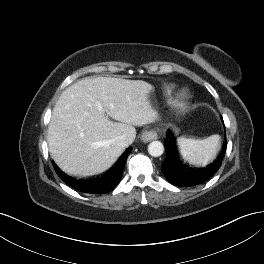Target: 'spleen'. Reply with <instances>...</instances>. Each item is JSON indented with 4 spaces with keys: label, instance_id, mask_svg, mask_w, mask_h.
<instances>
[{
    "label": "spleen",
    "instance_id": "3e777b00",
    "mask_svg": "<svg viewBox=\"0 0 264 264\" xmlns=\"http://www.w3.org/2000/svg\"><path fill=\"white\" fill-rule=\"evenodd\" d=\"M178 145L184 159L191 164L202 165L212 161L217 155L220 136L215 134L202 140L180 137Z\"/></svg>",
    "mask_w": 264,
    "mask_h": 264
}]
</instances>
